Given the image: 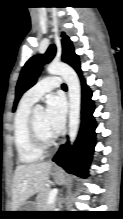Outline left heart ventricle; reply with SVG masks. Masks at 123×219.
Returning a JSON list of instances; mask_svg holds the SVG:
<instances>
[{"instance_id":"obj_1","label":"left heart ventricle","mask_w":123,"mask_h":219,"mask_svg":"<svg viewBox=\"0 0 123 219\" xmlns=\"http://www.w3.org/2000/svg\"><path fill=\"white\" fill-rule=\"evenodd\" d=\"M34 116L37 128L41 136L46 140H50L51 138H53L55 135L51 132L47 125L45 112L37 111L34 113Z\"/></svg>"}]
</instances>
